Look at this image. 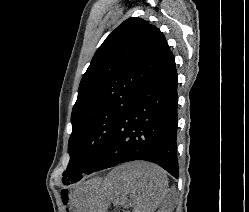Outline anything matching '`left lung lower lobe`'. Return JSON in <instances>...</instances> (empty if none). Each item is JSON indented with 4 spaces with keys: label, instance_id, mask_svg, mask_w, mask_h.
<instances>
[{
    "label": "left lung lower lobe",
    "instance_id": "0a47b994",
    "mask_svg": "<svg viewBox=\"0 0 249 212\" xmlns=\"http://www.w3.org/2000/svg\"><path fill=\"white\" fill-rule=\"evenodd\" d=\"M177 84L174 56L170 51L128 105L107 148L88 174L128 161L145 160L178 177Z\"/></svg>",
    "mask_w": 249,
    "mask_h": 212
}]
</instances>
